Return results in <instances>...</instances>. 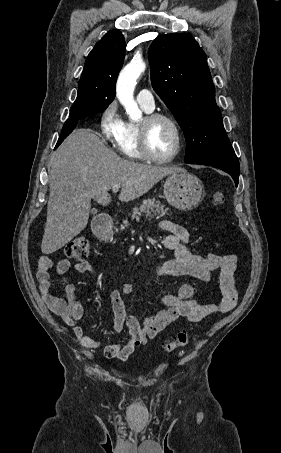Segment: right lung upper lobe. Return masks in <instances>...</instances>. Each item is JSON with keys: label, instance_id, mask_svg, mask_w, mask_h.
<instances>
[{"label": "right lung upper lobe", "instance_id": "obj_1", "mask_svg": "<svg viewBox=\"0 0 281 453\" xmlns=\"http://www.w3.org/2000/svg\"><path fill=\"white\" fill-rule=\"evenodd\" d=\"M125 57L121 31H109L96 43L85 62L72 108L90 106L103 110L114 100L115 83Z\"/></svg>", "mask_w": 281, "mask_h": 453}]
</instances>
